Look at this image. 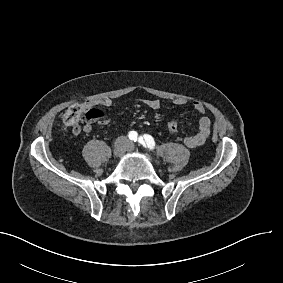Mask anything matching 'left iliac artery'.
Returning a JSON list of instances; mask_svg holds the SVG:
<instances>
[{"label":"left iliac artery","mask_w":283,"mask_h":283,"mask_svg":"<svg viewBox=\"0 0 283 283\" xmlns=\"http://www.w3.org/2000/svg\"><path fill=\"white\" fill-rule=\"evenodd\" d=\"M138 142L144 147H148L149 149H154L155 141L151 135L144 134L143 137L140 136Z\"/></svg>","instance_id":"44dca946"}]
</instances>
